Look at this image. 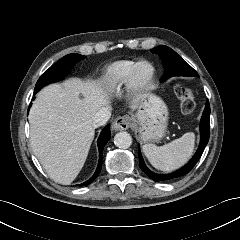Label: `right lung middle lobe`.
<instances>
[{
  "instance_id": "obj_1",
  "label": "right lung middle lobe",
  "mask_w": 240,
  "mask_h": 240,
  "mask_svg": "<svg viewBox=\"0 0 240 240\" xmlns=\"http://www.w3.org/2000/svg\"><path fill=\"white\" fill-rule=\"evenodd\" d=\"M85 56L80 54H68L46 70L36 83L34 92L43 86L62 79L79 60Z\"/></svg>"
}]
</instances>
